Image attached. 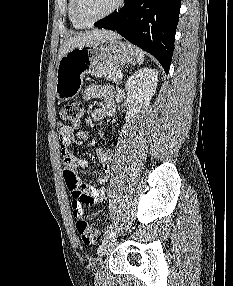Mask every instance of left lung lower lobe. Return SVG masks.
<instances>
[{"instance_id": "0a47b994", "label": "left lung lower lobe", "mask_w": 233, "mask_h": 286, "mask_svg": "<svg viewBox=\"0 0 233 286\" xmlns=\"http://www.w3.org/2000/svg\"><path fill=\"white\" fill-rule=\"evenodd\" d=\"M180 6L181 0H126L118 12L97 21L94 26L116 30L156 57L168 74Z\"/></svg>"}]
</instances>
